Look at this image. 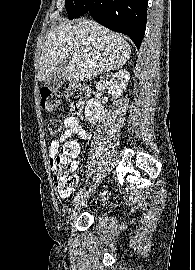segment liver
I'll list each match as a JSON object with an SVG mask.
<instances>
[{"instance_id": "6515ba94", "label": "liver", "mask_w": 195, "mask_h": 270, "mask_svg": "<svg viewBox=\"0 0 195 270\" xmlns=\"http://www.w3.org/2000/svg\"><path fill=\"white\" fill-rule=\"evenodd\" d=\"M69 55L73 56L62 76L64 81L78 83L121 68L130 59L131 48L120 35L92 20L61 23L46 37L38 80L48 78Z\"/></svg>"}]
</instances>
